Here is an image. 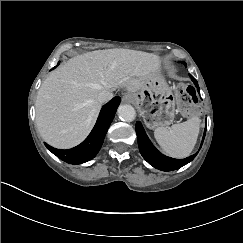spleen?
Returning <instances> with one entry per match:
<instances>
[{
	"label": "spleen",
	"instance_id": "1",
	"mask_svg": "<svg viewBox=\"0 0 243 243\" xmlns=\"http://www.w3.org/2000/svg\"><path fill=\"white\" fill-rule=\"evenodd\" d=\"M199 133V119L193 116L170 127H157L155 138L170 156L183 158L193 150Z\"/></svg>",
	"mask_w": 243,
	"mask_h": 243
}]
</instances>
